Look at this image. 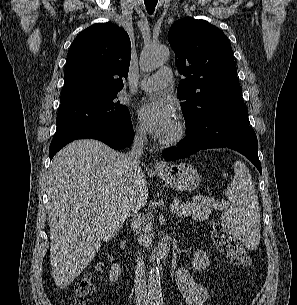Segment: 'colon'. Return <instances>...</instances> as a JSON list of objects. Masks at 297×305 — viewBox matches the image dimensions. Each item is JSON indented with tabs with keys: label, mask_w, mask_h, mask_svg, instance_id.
<instances>
[{
	"label": "colon",
	"mask_w": 297,
	"mask_h": 305,
	"mask_svg": "<svg viewBox=\"0 0 297 305\" xmlns=\"http://www.w3.org/2000/svg\"><path fill=\"white\" fill-rule=\"evenodd\" d=\"M209 228L213 243L224 256L237 266L245 268L250 266L251 259L247 251L220 220H212ZM95 270L96 272L102 271V266L98 265ZM93 293L92 276L87 275L76 281L74 292L69 299V305H87Z\"/></svg>",
	"instance_id": "obj_1"
}]
</instances>
